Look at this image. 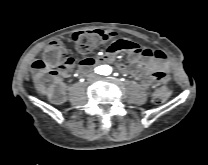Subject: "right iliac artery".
Segmentation results:
<instances>
[{
	"mask_svg": "<svg viewBox=\"0 0 208 165\" xmlns=\"http://www.w3.org/2000/svg\"><path fill=\"white\" fill-rule=\"evenodd\" d=\"M95 72L98 74H102L103 73L102 67L100 66V67L95 68Z\"/></svg>",
	"mask_w": 208,
	"mask_h": 165,
	"instance_id": "obj_1",
	"label": "right iliac artery"
}]
</instances>
